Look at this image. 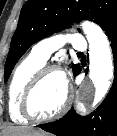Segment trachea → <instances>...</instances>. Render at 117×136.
<instances>
[{"label": "trachea", "instance_id": "1", "mask_svg": "<svg viewBox=\"0 0 117 136\" xmlns=\"http://www.w3.org/2000/svg\"><path fill=\"white\" fill-rule=\"evenodd\" d=\"M78 54L81 55V54H83V53L79 52Z\"/></svg>", "mask_w": 117, "mask_h": 136}]
</instances>
